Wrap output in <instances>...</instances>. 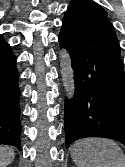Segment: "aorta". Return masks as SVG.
I'll use <instances>...</instances> for the list:
<instances>
[{"label": "aorta", "instance_id": "1", "mask_svg": "<svg viewBox=\"0 0 125 167\" xmlns=\"http://www.w3.org/2000/svg\"><path fill=\"white\" fill-rule=\"evenodd\" d=\"M60 67L65 93L69 98H72L75 90L74 72L70 55L66 49L60 51Z\"/></svg>", "mask_w": 125, "mask_h": 167}]
</instances>
